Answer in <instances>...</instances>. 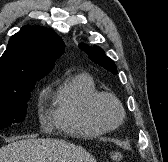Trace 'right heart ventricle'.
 <instances>
[{
  "label": "right heart ventricle",
  "instance_id": "e07e8e85",
  "mask_svg": "<svg viewBox=\"0 0 168 162\" xmlns=\"http://www.w3.org/2000/svg\"><path fill=\"white\" fill-rule=\"evenodd\" d=\"M97 92L91 75L83 72L67 75L55 93L53 123L78 136L93 137L106 133L108 130L89 113V102Z\"/></svg>",
  "mask_w": 168,
  "mask_h": 162
}]
</instances>
